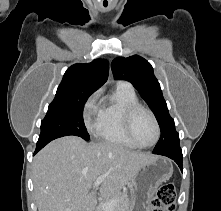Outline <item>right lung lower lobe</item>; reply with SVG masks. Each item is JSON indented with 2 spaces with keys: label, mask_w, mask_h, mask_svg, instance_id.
I'll return each instance as SVG.
<instances>
[{
  "label": "right lung lower lobe",
  "mask_w": 221,
  "mask_h": 211,
  "mask_svg": "<svg viewBox=\"0 0 221 211\" xmlns=\"http://www.w3.org/2000/svg\"><path fill=\"white\" fill-rule=\"evenodd\" d=\"M49 141H46V142H42V143H37L36 145V150H35V153L36 154L39 150H41L46 144H48Z\"/></svg>",
  "instance_id": "obj_1"
}]
</instances>
